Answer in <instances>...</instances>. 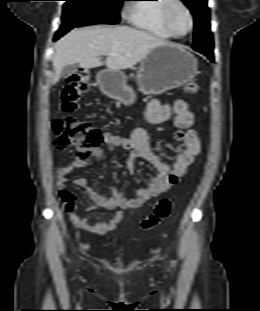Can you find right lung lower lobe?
Wrapping results in <instances>:
<instances>
[{"label":"right lung lower lobe","instance_id":"right-lung-lower-lobe-1","mask_svg":"<svg viewBox=\"0 0 260 311\" xmlns=\"http://www.w3.org/2000/svg\"><path fill=\"white\" fill-rule=\"evenodd\" d=\"M69 30H70V29H67V30H64V31L58 30L57 33H56V35H55L54 40L59 39L62 35H64V34H65L66 32H68Z\"/></svg>","mask_w":260,"mask_h":311}]
</instances>
